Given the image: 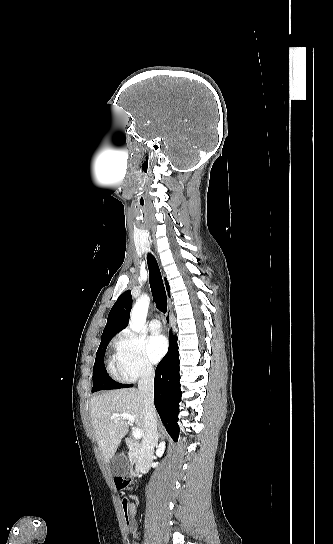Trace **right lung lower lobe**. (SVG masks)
<instances>
[{
  "label": "right lung lower lobe",
  "instance_id": "right-lung-lower-lobe-1",
  "mask_svg": "<svg viewBox=\"0 0 333 544\" xmlns=\"http://www.w3.org/2000/svg\"><path fill=\"white\" fill-rule=\"evenodd\" d=\"M179 370L177 338L171 333L168 353L160 361L155 371L154 404L167 432L175 440L179 435L177 424L181 400Z\"/></svg>",
  "mask_w": 333,
  "mask_h": 544
}]
</instances>
